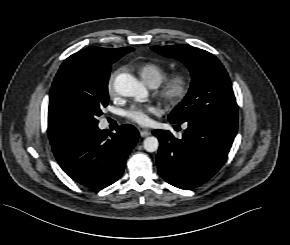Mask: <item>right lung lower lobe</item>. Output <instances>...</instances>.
<instances>
[{
  "mask_svg": "<svg viewBox=\"0 0 290 245\" xmlns=\"http://www.w3.org/2000/svg\"><path fill=\"white\" fill-rule=\"evenodd\" d=\"M116 133L98 126L78 129L52 145L64 172L76 182L99 190L117 181L139 133L132 125H121Z\"/></svg>",
  "mask_w": 290,
  "mask_h": 245,
  "instance_id": "1",
  "label": "right lung lower lobe"
}]
</instances>
